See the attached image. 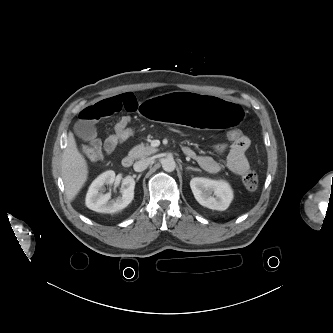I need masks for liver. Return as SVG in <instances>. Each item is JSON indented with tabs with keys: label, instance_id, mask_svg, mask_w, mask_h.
<instances>
[{
	"label": "liver",
	"instance_id": "1",
	"mask_svg": "<svg viewBox=\"0 0 333 333\" xmlns=\"http://www.w3.org/2000/svg\"><path fill=\"white\" fill-rule=\"evenodd\" d=\"M88 167L83 155L79 152L75 138L68 134L66 148L62 156V178L66 194L75 198L87 180Z\"/></svg>",
	"mask_w": 333,
	"mask_h": 333
}]
</instances>
